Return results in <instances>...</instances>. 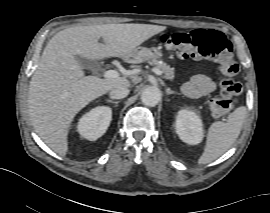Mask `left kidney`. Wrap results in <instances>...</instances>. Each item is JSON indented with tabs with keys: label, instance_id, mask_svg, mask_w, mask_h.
<instances>
[{
	"label": "left kidney",
	"instance_id": "left-kidney-1",
	"mask_svg": "<svg viewBox=\"0 0 270 213\" xmlns=\"http://www.w3.org/2000/svg\"><path fill=\"white\" fill-rule=\"evenodd\" d=\"M175 129L179 138L187 144L196 145L203 140L202 120L192 110L181 109L178 111Z\"/></svg>",
	"mask_w": 270,
	"mask_h": 213
}]
</instances>
